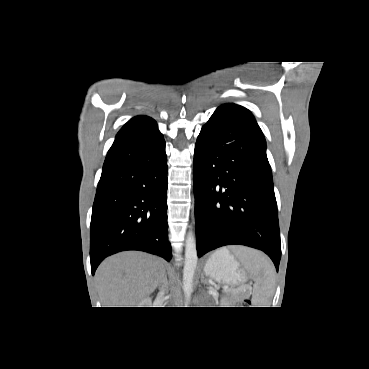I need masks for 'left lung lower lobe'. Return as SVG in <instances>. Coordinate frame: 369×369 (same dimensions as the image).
Listing matches in <instances>:
<instances>
[{"instance_id": "left-lung-lower-lobe-1", "label": "left lung lower lobe", "mask_w": 369, "mask_h": 369, "mask_svg": "<svg viewBox=\"0 0 369 369\" xmlns=\"http://www.w3.org/2000/svg\"><path fill=\"white\" fill-rule=\"evenodd\" d=\"M193 181L198 256L225 245H245L264 251L278 271L277 204L257 123L219 107L197 138Z\"/></svg>"}]
</instances>
